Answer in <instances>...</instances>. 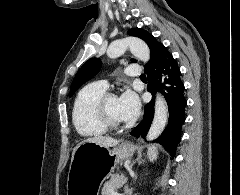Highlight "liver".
<instances>
[{"instance_id":"1","label":"liver","mask_w":240,"mask_h":195,"mask_svg":"<svg viewBox=\"0 0 240 195\" xmlns=\"http://www.w3.org/2000/svg\"><path fill=\"white\" fill-rule=\"evenodd\" d=\"M84 141H94V143H99V145H104V147H114V145H117L119 139H114V137H109V135H95V137L83 139V141H80V143H84ZM80 143H77L76 147H74L72 157L75 149L79 147Z\"/></svg>"}]
</instances>
